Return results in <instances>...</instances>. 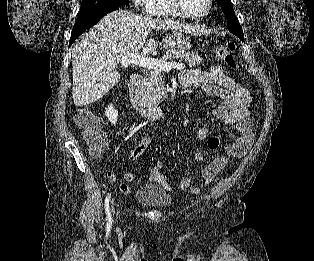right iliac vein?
Wrapping results in <instances>:
<instances>
[{
    "mask_svg": "<svg viewBox=\"0 0 314 261\" xmlns=\"http://www.w3.org/2000/svg\"><path fill=\"white\" fill-rule=\"evenodd\" d=\"M112 212H113V214L115 213L114 205H112Z\"/></svg>",
    "mask_w": 314,
    "mask_h": 261,
    "instance_id": "right-iliac-vein-1",
    "label": "right iliac vein"
}]
</instances>
